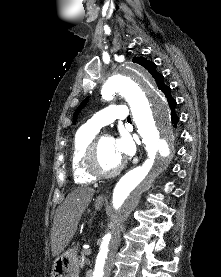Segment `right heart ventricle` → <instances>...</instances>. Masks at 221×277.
Wrapping results in <instances>:
<instances>
[{
  "instance_id": "obj_1",
  "label": "right heart ventricle",
  "mask_w": 221,
  "mask_h": 277,
  "mask_svg": "<svg viewBox=\"0 0 221 277\" xmlns=\"http://www.w3.org/2000/svg\"><path fill=\"white\" fill-rule=\"evenodd\" d=\"M96 133V130L83 126L75 134L71 151V169L74 181L78 184H88L94 180L84 169V158Z\"/></svg>"
}]
</instances>
